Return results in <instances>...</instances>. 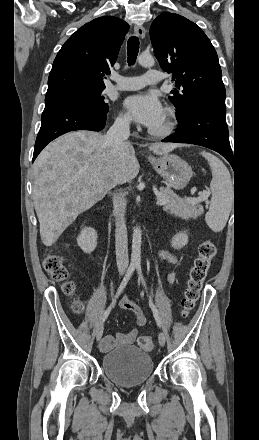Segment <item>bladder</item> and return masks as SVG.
I'll return each instance as SVG.
<instances>
[{"label": "bladder", "mask_w": 259, "mask_h": 440, "mask_svg": "<svg viewBox=\"0 0 259 440\" xmlns=\"http://www.w3.org/2000/svg\"><path fill=\"white\" fill-rule=\"evenodd\" d=\"M102 371L118 385L135 386L152 376L154 365L146 351L126 345L111 350L102 357Z\"/></svg>", "instance_id": "obj_1"}]
</instances>
